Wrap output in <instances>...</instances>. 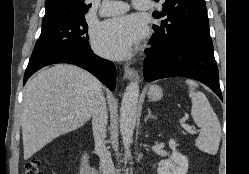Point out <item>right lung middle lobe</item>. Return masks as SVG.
Listing matches in <instances>:
<instances>
[{"label":"right lung middle lobe","instance_id":"1","mask_svg":"<svg viewBox=\"0 0 249 174\" xmlns=\"http://www.w3.org/2000/svg\"><path fill=\"white\" fill-rule=\"evenodd\" d=\"M87 47H89L88 25L85 17H79L42 26L32 54L52 49Z\"/></svg>","mask_w":249,"mask_h":174}]
</instances>
